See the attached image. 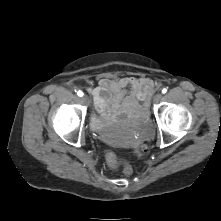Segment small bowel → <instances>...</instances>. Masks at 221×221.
Listing matches in <instances>:
<instances>
[{
	"instance_id": "obj_1",
	"label": "small bowel",
	"mask_w": 221,
	"mask_h": 221,
	"mask_svg": "<svg viewBox=\"0 0 221 221\" xmlns=\"http://www.w3.org/2000/svg\"><path fill=\"white\" fill-rule=\"evenodd\" d=\"M153 91L154 82L150 78L134 76L104 78L97 87L89 89L95 108L102 117L113 114L145 117L146 101Z\"/></svg>"
}]
</instances>
